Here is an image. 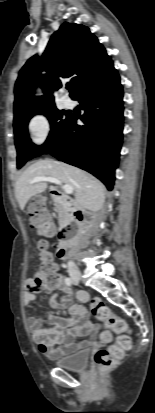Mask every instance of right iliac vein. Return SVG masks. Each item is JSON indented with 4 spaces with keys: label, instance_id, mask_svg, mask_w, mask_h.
Masks as SVG:
<instances>
[{
    "label": "right iliac vein",
    "instance_id": "1",
    "mask_svg": "<svg viewBox=\"0 0 155 413\" xmlns=\"http://www.w3.org/2000/svg\"><path fill=\"white\" fill-rule=\"evenodd\" d=\"M71 277H72V279H73L75 282H79V281L82 280V275H81V273H80V272H77V271L72 272V273H71Z\"/></svg>",
    "mask_w": 155,
    "mask_h": 413
}]
</instances>
